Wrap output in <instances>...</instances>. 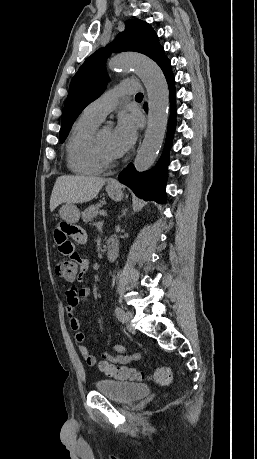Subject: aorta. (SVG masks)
Returning <instances> with one entry per match:
<instances>
[{
	"mask_svg": "<svg viewBox=\"0 0 257 459\" xmlns=\"http://www.w3.org/2000/svg\"><path fill=\"white\" fill-rule=\"evenodd\" d=\"M108 67L115 71L134 69L144 83L149 103L146 133L134 161L136 170L142 172L155 162L162 147L168 120L169 89L160 67L151 59L135 54L112 57Z\"/></svg>",
	"mask_w": 257,
	"mask_h": 459,
	"instance_id": "1",
	"label": "aorta"
}]
</instances>
